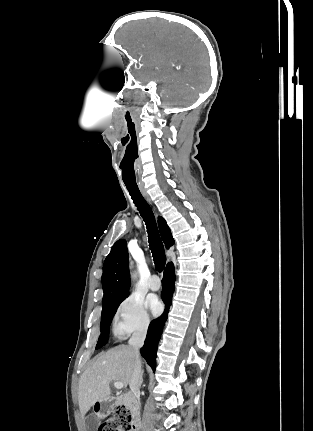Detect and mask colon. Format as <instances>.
I'll list each match as a JSON object with an SVG mask.
<instances>
[{
  "label": "colon",
  "mask_w": 313,
  "mask_h": 431,
  "mask_svg": "<svg viewBox=\"0 0 313 431\" xmlns=\"http://www.w3.org/2000/svg\"><path fill=\"white\" fill-rule=\"evenodd\" d=\"M98 431H132L130 410L124 405L115 407L112 415L99 426Z\"/></svg>",
  "instance_id": "5ec220e1"
}]
</instances>
